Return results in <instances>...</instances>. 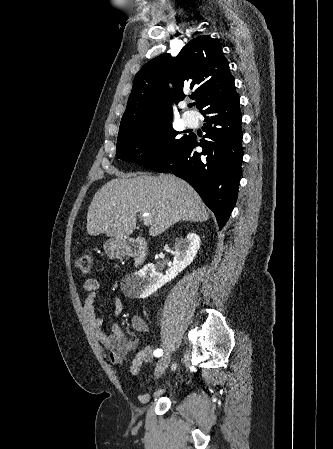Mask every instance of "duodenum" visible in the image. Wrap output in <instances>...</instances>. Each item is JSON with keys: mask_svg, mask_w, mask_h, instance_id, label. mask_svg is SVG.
Instances as JSON below:
<instances>
[{"mask_svg": "<svg viewBox=\"0 0 333 449\" xmlns=\"http://www.w3.org/2000/svg\"><path fill=\"white\" fill-rule=\"evenodd\" d=\"M116 256H128L134 259V265L140 266L147 257L148 246L140 239L124 238L117 241L114 246Z\"/></svg>", "mask_w": 333, "mask_h": 449, "instance_id": "410a0bca", "label": "duodenum"}]
</instances>
